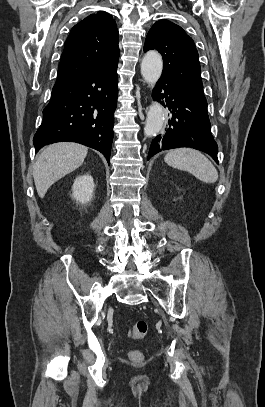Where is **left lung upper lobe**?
<instances>
[{"instance_id": "obj_1", "label": "left lung upper lobe", "mask_w": 265, "mask_h": 407, "mask_svg": "<svg viewBox=\"0 0 265 407\" xmlns=\"http://www.w3.org/2000/svg\"><path fill=\"white\" fill-rule=\"evenodd\" d=\"M156 49L164 61L162 77L180 85L198 100L207 103L202 89L199 56L191 37L168 20L156 22L150 29L144 51Z\"/></svg>"}]
</instances>
